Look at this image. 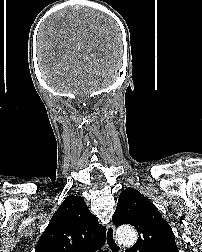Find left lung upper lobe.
<instances>
[{
  "instance_id": "5c2ea615",
  "label": "left lung upper lobe",
  "mask_w": 202,
  "mask_h": 252,
  "mask_svg": "<svg viewBox=\"0 0 202 252\" xmlns=\"http://www.w3.org/2000/svg\"><path fill=\"white\" fill-rule=\"evenodd\" d=\"M115 226L130 224L139 239L126 252H178L172 228L154 204L134 188L123 190L112 217Z\"/></svg>"
}]
</instances>
